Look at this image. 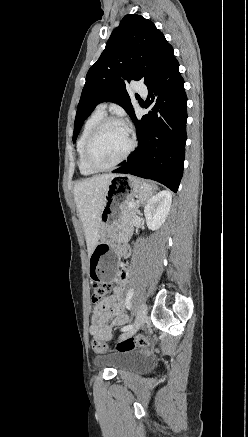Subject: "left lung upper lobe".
<instances>
[{
	"instance_id": "left-lung-upper-lobe-1",
	"label": "left lung upper lobe",
	"mask_w": 248,
	"mask_h": 437,
	"mask_svg": "<svg viewBox=\"0 0 248 437\" xmlns=\"http://www.w3.org/2000/svg\"><path fill=\"white\" fill-rule=\"evenodd\" d=\"M175 59L173 48L150 20L136 14L123 17L104 51L86 76L78 104L73 141L95 106L111 101L122 106L131 119L135 115L126 83L156 79Z\"/></svg>"
}]
</instances>
